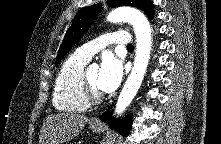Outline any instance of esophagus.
<instances>
[{
  "instance_id": "esophagus-1",
  "label": "esophagus",
  "mask_w": 221,
  "mask_h": 144,
  "mask_svg": "<svg viewBox=\"0 0 221 144\" xmlns=\"http://www.w3.org/2000/svg\"><path fill=\"white\" fill-rule=\"evenodd\" d=\"M92 123L94 124H100V120L98 118H95L92 120Z\"/></svg>"
}]
</instances>
